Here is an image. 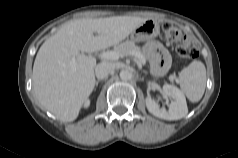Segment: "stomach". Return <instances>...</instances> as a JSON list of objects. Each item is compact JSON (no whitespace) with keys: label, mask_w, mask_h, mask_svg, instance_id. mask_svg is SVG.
Returning <instances> with one entry per match:
<instances>
[{"label":"stomach","mask_w":238,"mask_h":158,"mask_svg":"<svg viewBox=\"0 0 238 158\" xmlns=\"http://www.w3.org/2000/svg\"><path fill=\"white\" fill-rule=\"evenodd\" d=\"M159 34V23L153 19H146L131 32L130 38L133 42H140L155 38Z\"/></svg>","instance_id":"obj_1"}]
</instances>
